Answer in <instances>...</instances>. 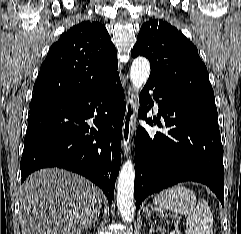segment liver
I'll return each mask as SVG.
<instances>
[{"instance_id":"obj_1","label":"liver","mask_w":241,"mask_h":234,"mask_svg":"<svg viewBox=\"0 0 241 234\" xmlns=\"http://www.w3.org/2000/svg\"><path fill=\"white\" fill-rule=\"evenodd\" d=\"M102 192L58 168L31 174L20 189L22 234H81L100 211Z\"/></svg>"}]
</instances>
